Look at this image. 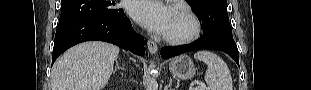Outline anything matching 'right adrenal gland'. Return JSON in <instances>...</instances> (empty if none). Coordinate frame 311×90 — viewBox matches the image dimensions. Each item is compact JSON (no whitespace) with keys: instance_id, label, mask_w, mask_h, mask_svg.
<instances>
[{"instance_id":"2a0ac1e0","label":"right adrenal gland","mask_w":311,"mask_h":90,"mask_svg":"<svg viewBox=\"0 0 311 90\" xmlns=\"http://www.w3.org/2000/svg\"><path fill=\"white\" fill-rule=\"evenodd\" d=\"M118 70H124V67H120L118 61L116 60V66L113 73H116Z\"/></svg>"}]
</instances>
